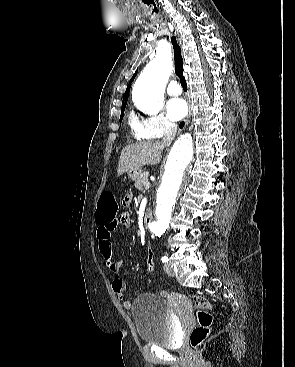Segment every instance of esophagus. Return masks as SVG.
I'll use <instances>...</instances> for the list:
<instances>
[{
  "mask_svg": "<svg viewBox=\"0 0 295 367\" xmlns=\"http://www.w3.org/2000/svg\"><path fill=\"white\" fill-rule=\"evenodd\" d=\"M178 42H179V44L181 45V40H180V38H178ZM190 116H191V112H189V114H188V116H187V118H186V122L189 120Z\"/></svg>",
  "mask_w": 295,
  "mask_h": 367,
  "instance_id": "esophagus-1",
  "label": "esophagus"
}]
</instances>
